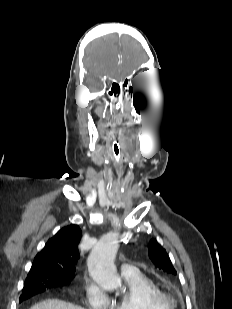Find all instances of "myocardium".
Here are the masks:
<instances>
[{
  "label": "myocardium",
  "instance_id": "obj_1",
  "mask_svg": "<svg viewBox=\"0 0 232 309\" xmlns=\"http://www.w3.org/2000/svg\"><path fill=\"white\" fill-rule=\"evenodd\" d=\"M160 301L165 309H176L177 307V300L171 294L163 293Z\"/></svg>",
  "mask_w": 232,
  "mask_h": 309
}]
</instances>
